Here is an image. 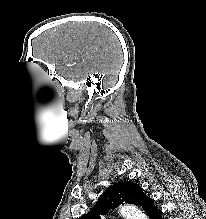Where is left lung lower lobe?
I'll return each mask as SVG.
<instances>
[{
    "label": "left lung lower lobe",
    "mask_w": 206,
    "mask_h": 219,
    "mask_svg": "<svg viewBox=\"0 0 206 219\" xmlns=\"http://www.w3.org/2000/svg\"><path fill=\"white\" fill-rule=\"evenodd\" d=\"M161 214L162 211L155 207L153 200L151 201L150 208L147 212V215L149 216L150 219H161Z\"/></svg>",
    "instance_id": "0a47b994"
}]
</instances>
